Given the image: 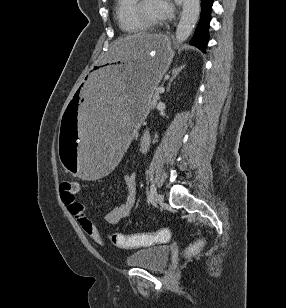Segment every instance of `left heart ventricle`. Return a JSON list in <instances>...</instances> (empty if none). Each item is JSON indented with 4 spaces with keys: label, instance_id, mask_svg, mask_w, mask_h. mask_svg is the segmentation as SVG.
<instances>
[{
    "label": "left heart ventricle",
    "instance_id": "left-heart-ventricle-1",
    "mask_svg": "<svg viewBox=\"0 0 286 308\" xmlns=\"http://www.w3.org/2000/svg\"><path fill=\"white\" fill-rule=\"evenodd\" d=\"M142 14L150 21H162L164 19L158 0H145L142 5Z\"/></svg>",
    "mask_w": 286,
    "mask_h": 308
}]
</instances>
